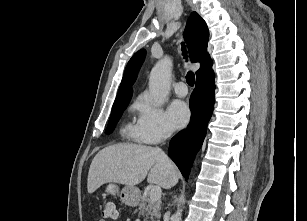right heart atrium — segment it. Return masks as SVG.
Masks as SVG:
<instances>
[{"label":"right heart atrium","instance_id":"1","mask_svg":"<svg viewBox=\"0 0 307 221\" xmlns=\"http://www.w3.org/2000/svg\"><path fill=\"white\" fill-rule=\"evenodd\" d=\"M138 134L142 142L156 144L170 138L174 130L163 109L147 96L137 102Z\"/></svg>","mask_w":307,"mask_h":221}]
</instances>
